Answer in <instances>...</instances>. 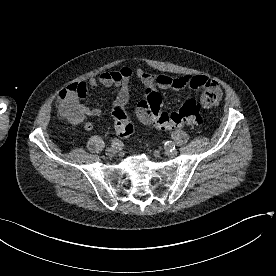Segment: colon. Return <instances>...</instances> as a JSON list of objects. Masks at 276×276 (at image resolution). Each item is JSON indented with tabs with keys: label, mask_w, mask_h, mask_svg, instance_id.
<instances>
[{
	"label": "colon",
	"mask_w": 276,
	"mask_h": 276,
	"mask_svg": "<svg viewBox=\"0 0 276 276\" xmlns=\"http://www.w3.org/2000/svg\"><path fill=\"white\" fill-rule=\"evenodd\" d=\"M80 93H82L81 88L70 86L60 93V99L65 101L70 95ZM137 113L141 118L160 129H173L181 126L199 127L203 122L204 106L200 101L191 99L187 100L178 111L167 113L162 111L161 94L152 88H146L138 103ZM61 114L66 119H75L79 112L76 107L64 102ZM112 115L117 135L121 138H129L134 128L126 107L114 106Z\"/></svg>",
	"instance_id": "1"
}]
</instances>
